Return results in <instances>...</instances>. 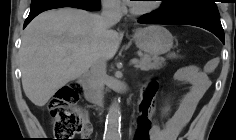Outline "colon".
Masks as SVG:
<instances>
[{
	"label": "colon",
	"mask_w": 236,
	"mask_h": 140,
	"mask_svg": "<svg viewBox=\"0 0 236 140\" xmlns=\"http://www.w3.org/2000/svg\"><path fill=\"white\" fill-rule=\"evenodd\" d=\"M157 91L155 82H150L141 93L132 140H150L154 99ZM81 89L77 83L62 86L49 103L55 140H72L85 126L84 111L77 105ZM179 140H184L180 137Z\"/></svg>",
	"instance_id": "colon-1"
}]
</instances>
